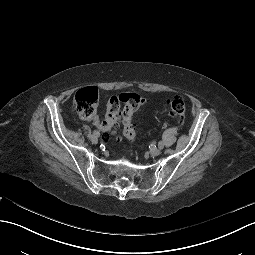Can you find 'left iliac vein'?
I'll return each instance as SVG.
<instances>
[{
	"label": "left iliac vein",
	"instance_id": "4c4485c4",
	"mask_svg": "<svg viewBox=\"0 0 255 255\" xmlns=\"http://www.w3.org/2000/svg\"><path fill=\"white\" fill-rule=\"evenodd\" d=\"M161 153V149L160 148H153L150 150V154L152 156H158Z\"/></svg>",
	"mask_w": 255,
	"mask_h": 255
}]
</instances>
